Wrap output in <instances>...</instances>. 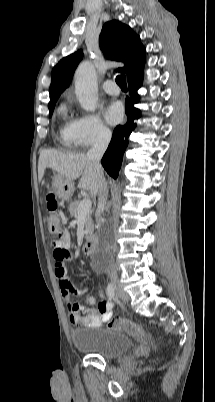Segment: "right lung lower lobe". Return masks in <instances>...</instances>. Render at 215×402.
<instances>
[{"instance_id": "1", "label": "right lung lower lobe", "mask_w": 215, "mask_h": 402, "mask_svg": "<svg viewBox=\"0 0 215 402\" xmlns=\"http://www.w3.org/2000/svg\"><path fill=\"white\" fill-rule=\"evenodd\" d=\"M142 76L131 79L129 84V97L126 98L125 113L127 122L124 125H118L111 139V142L101 160L105 170L113 178H117L121 167L124 151L128 145V137L136 127L134 119L140 117V110L134 107L139 102L137 90L141 87Z\"/></svg>"}]
</instances>
